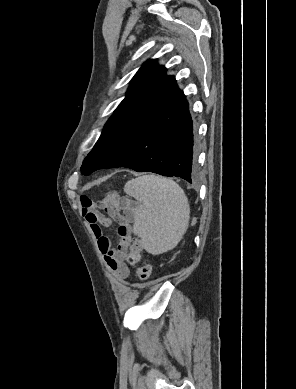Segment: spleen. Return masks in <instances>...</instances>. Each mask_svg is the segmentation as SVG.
Here are the masks:
<instances>
[{"label":"spleen","instance_id":"1","mask_svg":"<svg viewBox=\"0 0 296 389\" xmlns=\"http://www.w3.org/2000/svg\"><path fill=\"white\" fill-rule=\"evenodd\" d=\"M124 191L138 201L133 233L148 253L167 252L182 239L189 223V205L181 187L171 179L144 175L131 179Z\"/></svg>","mask_w":296,"mask_h":389}]
</instances>
